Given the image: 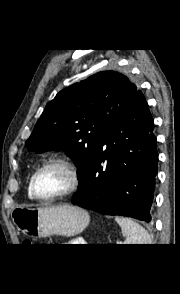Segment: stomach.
<instances>
[{
	"label": "stomach",
	"mask_w": 180,
	"mask_h": 294,
	"mask_svg": "<svg viewBox=\"0 0 180 294\" xmlns=\"http://www.w3.org/2000/svg\"><path fill=\"white\" fill-rule=\"evenodd\" d=\"M11 216L17 229L31 238L75 236L87 227L90 220L86 210L69 204L17 207Z\"/></svg>",
	"instance_id": "obj_1"
}]
</instances>
